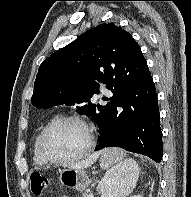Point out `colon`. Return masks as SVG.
<instances>
[{
  "instance_id": "5ec220e1",
  "label": "colon",
  "mask_w": 191,
  "mask_h": 197,
  "mask_svg": "<svg viewBox=\"0 0 191 197\" xmlns=\"http://www.w3.org/2000/svg\"><path fill=\"white\" fill-rule=\"evenodd\" d=\"M30 180L31 190L34 195H41L48 185V179L41 173H32Z\"/></svg>"
}]
</instances>
